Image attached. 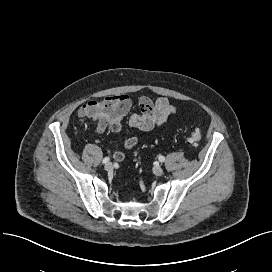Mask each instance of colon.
Masks as SVG:
<instances>
[{
	"label": "colon",
	"instance_id": "obj_1",
	"mask_svg": "<svg viewBox=\"0 0 272 272\" xmlns=\"http://www.w3.org/2000/svg\"><path fill=\"white\" fill-rule=\"evenodd\" d=\"M111 110H104L103 116L100 118V123L104 126L115 127L116 123L111 117ZM202 135L199 129H195L191 132L190 137L188 138V143L191 145H196L201 141Z\"/></svg>",
	"mask_w": 272,
	"mask_h": 272
}]
</instances>
